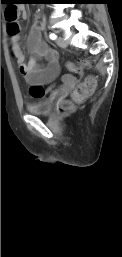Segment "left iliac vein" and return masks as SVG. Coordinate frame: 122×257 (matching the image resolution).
<instances>
[{
  "label": "left iliac vein",
  "mask_w": 122,
  "mask_h": 257,
  "mask_svg": "<svg viewBox=\"0 0 122 257\" xmlns=\"http://www.w3.org/2000/svg\"><path fill=\"white\" fill-rule=\"evenodd\" d=\"M56 43H57V45H58L59 47H61V48H66L67 45H68L67 41H66V40L64 39V37H62V36H59V37L57 38Z\"/></svg>",
  "instance_id": "1"
}]
</instances>
